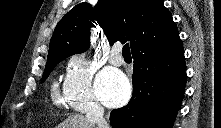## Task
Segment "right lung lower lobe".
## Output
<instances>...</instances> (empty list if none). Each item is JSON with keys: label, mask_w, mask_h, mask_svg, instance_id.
I'll use <instances>...</instances> for the list:
<instances>
[{"label": "right lung lower lobe", "mask_w": 221, "mask_h": 128, "mask_svg": "<svg viewBox=\"0 0 221 128\" xmlns=\"http://www.w3.org/2000/svg\"><path fill=\"white\" fill-rule=\"evenodd\" d=\"M133 94L110 114L113 128H170L180 109L186 63L179 36L169 45L133 53Z\"/></svg>", "instance_id": "right-lung-lower-lobe-1"}]
</instances>
